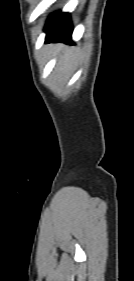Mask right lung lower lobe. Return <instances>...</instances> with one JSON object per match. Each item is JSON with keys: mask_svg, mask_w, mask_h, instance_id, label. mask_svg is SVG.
I'll list each match as a JSON object with an SVG mask.
<instances>
[{"mask_svg": "<svg viewBox=\"0 0 134 281\" xmlns=\"http://www.w3.org/2000/svg\"><path fill=\"white\" fill-rule=\"evenodd\" d=\"M72 24L68 13L56 12L47 21L46 42H71Z\"/></svg>", "mask_w": 134, "mask_h": 281, "instance_id": "1", "label": "right lung lower lobe"}]
</instances>
